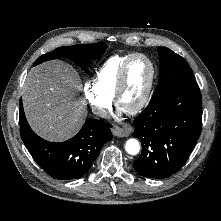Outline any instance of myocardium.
<instances>
[{
    "mask_svg": "<svg viewBox=\"0 0 221 221\" xmlns=\"http://www.w3.org/2000/svg\"><path fill=\"white\" fill-rule=\"evenodd\" d=\"M136 58H143L148 62L151 68V75H150V80L146 88V91L143 97L141 98V100L139 101V103L136 106H134L132 109L125 111L129 115H136L140 113L146 107V105L148 104L150 100L153 87L155 84L156 74H157L156 66L150 57H148L147 55L143 53L132 54L123 64L122 69L119 74L117 86H116L114 97H113L114 103L117 107H119V101L127 83V75H128L129 67L131 63L133 62V60Z\"/></svg>",
    "mask_w": 221,
    "mask_h": 221,
    "instance_id": "f54148a6",
    "label": "myocardium"
}]
</instances>
